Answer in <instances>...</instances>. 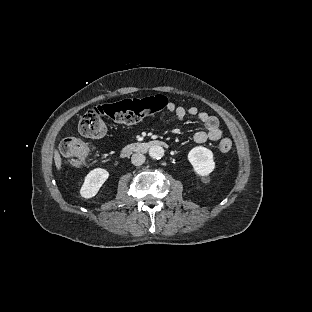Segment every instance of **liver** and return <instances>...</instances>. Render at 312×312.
<instances>
[{
	"mask_svg": "<svg viewBox=\"0 0 312 312\" xmlns=\"http://www.w3.org/2000/svg\"><path fill=\"white\" fill-rule=\"evenodd\" d=\"M53 158H54V164H55L57 172H61L63 162H62L60 151L57 146H54L53 148Z\"/></svg>",
	"mask_w": 312,
	"mask_h": 312,
	"instance_id": "6515ba94",
	"label": "liver"
}]
</instances>
